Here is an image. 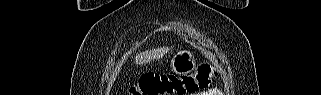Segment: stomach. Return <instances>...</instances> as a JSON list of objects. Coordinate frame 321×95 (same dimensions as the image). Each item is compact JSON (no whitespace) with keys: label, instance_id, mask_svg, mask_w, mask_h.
Instances as JSON below:
<instances>
[{"label":"stomach","instance_id":"1","mask_svg":"<svg viewBox=\"0 0 321 95\" xmlns=\"http://www.w3.org/2000/svg\"><path fill=\"white\" fill-rule=\"evenodd\" d=\"M171 70L176 75L190 74L196 69V60L190 50H180L171 59Z\"/></svg>","mask_w":321,"mask_h":95}]
</instances>
